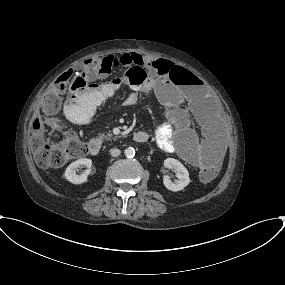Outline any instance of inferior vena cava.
I'll list each match as a JSON object with an SVG mask.
<instances>
[{"label": "inferior vena cava", "instance_id": "inferior-vena-cava-1", "mask_svg": "<svg viewBox=\"0 0 285 285\" xmlns=\"http://www.w3.org/2000/svg\"><path fill=\"white\" fill-rule=\"evenodd\" d=\"M110 154L113 157H117V156H119L121 154V151L119 149H117V148H113V149L110 150Z\"/></svg>", "mask_w": 285, "mask_h": 285}]
</instances>
